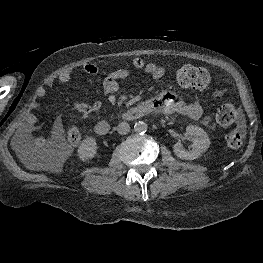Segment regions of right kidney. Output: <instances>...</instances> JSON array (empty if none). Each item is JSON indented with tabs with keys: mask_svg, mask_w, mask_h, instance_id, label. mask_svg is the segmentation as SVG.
I'll return each instance as SVG.
<instances>
[{
	"mask_svg": "<svg viewBox=\"0 0 263 263\" xmlns=\"http://www.w3.org/2000/svg\"><path fill=\"white\" fill-rule=\"evenodd\" d=\"M77 152L81 161L93 158L97 153L96 140L93 137H87L81 142Z\"/></svg>",
	"mask_w": 263,
	"mask_h": 263,
	"instance_id": "right-kidney-1",
	"label": "right kidney"
}]
</instances>
